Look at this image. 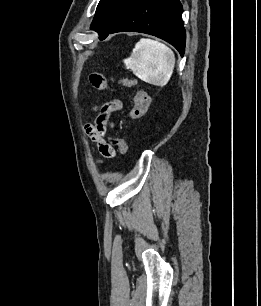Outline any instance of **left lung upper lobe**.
Returning <instances> with one entry per match:
<instances>
[{
    "label": "left lung upper lobe",
    "mask_w": 261,
    "mask_h": 306,
    "mask_svg": "<svg viewBox=\"0 0 261 306\" xmlns=\"http://www.w3.org/2000/svg\"><path fill=\"white\" fill-rule=\"evenodd\" d=\"M132 1L100 0L91 24V29L97 31L99 37L108 33L116 25Z\"/></svg>",
    "instance_id": "1"
}]
</instances>
